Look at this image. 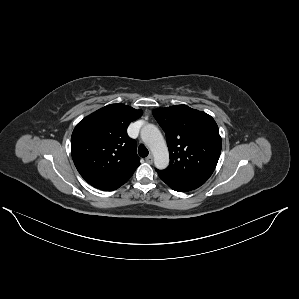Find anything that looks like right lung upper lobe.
Listing matches in <instances>:
<instances>
[{
	"instance_id": "obj_1",
	"label": "right lung upper lobe",
	"mask_w": 299,
	"mask_h": 299,
	"mask_svg": "<svg viewBox=\"0 0 299 299\" xmlns=\"http://www.w3.org/2000/svg\"><path fill=\"white\" fill-rule=\"evenodd\" d=\"M141 110L107 105L82 119L71 137V154L81 176L102 189L125 183L140 165L136 141L127 134Z\"/></svg>"
}]
</instances>
